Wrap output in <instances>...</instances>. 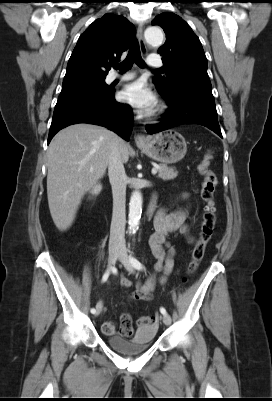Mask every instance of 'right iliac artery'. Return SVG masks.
<instances>
[{
  "instance_id": "obj_1",
  "label": "right iliac artery",
  "mask_w": 272,
  "mask_h": 401,
  "mask_svg": "<svg viewBox=\"0 0 272 401\" xmlns=\"http://www.w3.org/2000/svg\"><path fill=\"white\" fill-rule=\"evenodd\" d=\"M108 277H109V271H106V272L104 273L103 277H102V282L107 281ZM95 312H96L95 308H92V309H91V313L94 314Z\"/></svg>"
}]
</instances>
